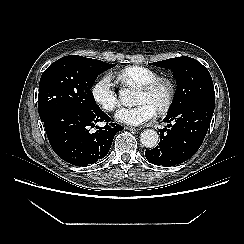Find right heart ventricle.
Masks as SVG:
<instances>
[{"label":"right heart ventricle","mask_w":244,"mask_h":244,"mask_svg":"<svg viewBox=\"0 0 244 244\" xmlns=\"http://www.w3.org/2000/svg\"><path fill=\"white\" fill-rule=\"evenodd\" d=\"M115 77L122 86L139 88L159 77V74L148 67L129 66L117 72Z\"/></svg>","instance_id":"obj_1"}]
</instances>
